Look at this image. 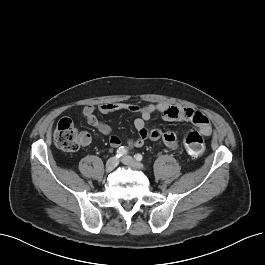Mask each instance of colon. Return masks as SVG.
I'll list each match as a JSON object with an SVG mask.
<instances>
[{
  "mask_svg": "<svg viewBox=\"0 0 265 265\" xmlns=\"http://www.w3.org/2000/svg\"><path fill=\"white\" fill-rule=\"evenodd\" d=\"M54 141L56 145L66 151L75 152L80 148V134L69 118H62L54 131ZM184 147L187 153L193 157L200 156L205 149L204 139L200 132L190 130L184 134Z\"/></svg>",
  "mask_w": 265,
  "mask_h": 265,
  "instance_id": "obj_1",
  "label": "colon"
}]
</instances>
